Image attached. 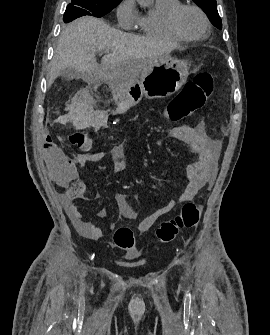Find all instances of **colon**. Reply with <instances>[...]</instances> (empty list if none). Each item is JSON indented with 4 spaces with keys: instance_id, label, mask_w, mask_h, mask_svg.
<instances>
[{
    "instance_id": "obj_1",
    "label": "colon",
    "mask_w": 270,
    "mask_h": 335,
    "mask_svg": "<svg viewBox=\"0 0 270 335\" xmlns=\"http://www.w3.org/2000/svg\"><path fill=\"white\" fill-rule=\"evenodd\" d=\"M213 91V77L210 72L204 71L190 80L183 90L169 103L166 115L173 122H178L187 115L200 109ZM72 145L80 150L90 151L94 141L86 131H77L69 136ZM200 204L188 201L183 204L179 212L170 218L164 219L156 228L157 240L161 244H170L177 236L187 229L197 226L200 218ZM114 244L117 248L137 255L133 232L129 228L117 229L114 233Z\"/></svg>"
}]
</instances>
